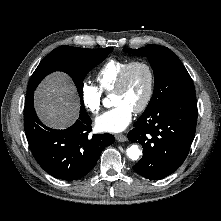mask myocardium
<instances>
[{"label":"myocardium","mask_w":221,"mask_h":221,"mask_svg":"<svg viewBox=\"0 0 221 221\" xmlns=\"http://www.w3.org/2000/svg\"><path fill=\"white\" fill-rule=\"evenodd\" d=\"M135 66H142L148 74V89H147L145 98L142 101V103L134 110V112L138 114V113H141L144 110H146V108L149 106V104L151 102V99H152L153 93H154L155 74H154L153 68L151 67V65L147 61L137 59V60H132V61L128 62L125 65V67L122 69V71L119 75L116 86L113 90V94L119 93L125 88L128 74H129L130 70Z\"/></svg>","instance_id":"1"}]
</instances>
